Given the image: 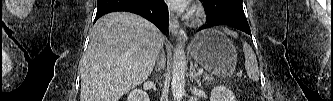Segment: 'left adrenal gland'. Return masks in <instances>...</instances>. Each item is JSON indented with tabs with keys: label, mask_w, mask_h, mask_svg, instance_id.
Wrapping results in <instances>:
<instances>
[{
	"label": "left adrenal gland",
	"mask_w": 333,
	"mask_h": 101,
	"mask_svg": "<svg viewBox=\"0 0 333 101\" xmlns=\"http://www.w3.org/2000/svg\"><path fill=\"white\" fill-rule=\"evenodd\" d=\"M189 77H190L191 82L195 81L199 85L201 84V82H200L201 78L198 75V73L196 72L193 63H191V66H190Z\"/></svg>",
	"instance_id": "a2214340"
}]
</instances>
